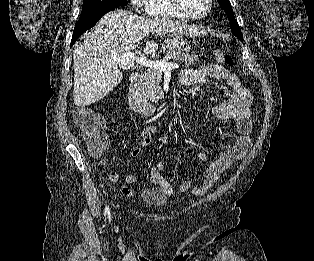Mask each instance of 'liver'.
<instances>
[{"instance_id": "liver-1", "label": "liver", "mask_w": 314, "mask_h": 261, "mask_svg": "<svg viewBox=\"0 0 314 261\" xmlns=\"http://www.w3.org/2000/svg\"><path fill=\"white\" fill-rule=\"evenodd\" d=\"M150 33L198 35L196 28L168 19H149L130 11L115 10L104 15L82 43L73 51L74 103L77 107L93 104L111 92L123 78L114 58L136 49ZM149 41L145 54L156 52Z\"/></svg>"}]
</instances>
